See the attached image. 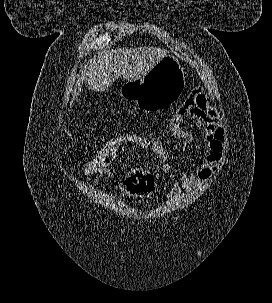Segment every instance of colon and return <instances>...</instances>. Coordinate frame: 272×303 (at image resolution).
<instances>
[{
  "label": "colon",
  "mask_w": 272,
  "mask_h": 303,
  "mask_svg": "<svg viewBox=\"0 0 272 303\" xmlns=\"http://www.w3.org/2000/svg\"><path fill=\"white\" fill-rule=\"evenodd\" d=\"M169 123L164 126L160 132L145 135V134H122L117 135L105 142V144L94 154L93 157L83 162L78 167V174L85 178L100 176L106 172L113 170V163L117 155L127 146H132L136 137H144L149 140H161L162 135H169ZM155 188V180L149 173L140 172L138 179L134 185V196H146Z\"/></svg>",
  "instance_id": "1"
}]
</instances>
